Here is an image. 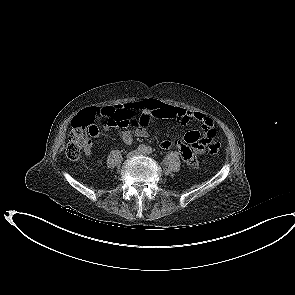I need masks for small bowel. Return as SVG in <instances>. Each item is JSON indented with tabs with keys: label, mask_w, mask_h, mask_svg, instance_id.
<instances>
[{
	"label": "small bowel",
	"mask_w": 295,
	"mask_h": 295,
	"mask_svg": "<svg viewBox=\"0 0 295 295\" xmlns=\"http://www.w3.org/2000/svg\"><path fill=\"white\" fill-rule=\"evenodd\" d=\"M110 108L113 112L112 119L103 120L101 123L105 130L118 125L125 119L132 120L138 112L141 113L138 126L134 131L123 128L119 132L121 140L126 144H131L135 136L141 138L147 137L149 125L153 118L168 119L180 124H187L191 120L201 122L204 133L198 130H191L185 134L183 140L166 139L160 144L163 149H169L173 146L177 147L182 159L190 164H196V156L205 151V144L207 142L205 129L213 128L211 118L204 113L174 107L157 99L147 98ZM98 132L99 130L96 135H98ZM91 151V146L85 149L86 154H90Z\"/></svg>",
	"instance_id": "small-bowel-1"
}]
</instances>
